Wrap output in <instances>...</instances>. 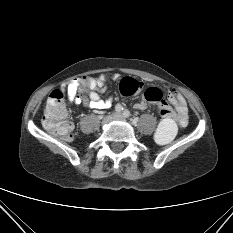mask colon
Wrapping results in <instances>:
<instances>
[{
	"instance_id": "obj_1",
	"label": "colon",
	"mask_w": 233,
	"mask_h": 233,
	"mask_svg": "<svg viewBox=\"0 0 233 233\" xmlns=\"http://www.w3.org/2000/svg\"><path fill=\"white\" fill-rule=\"evenodd\" d=\"M141 88V83L132 78H125L120 83V91L125 96L133 95ZM144 98L149 102L160 103L163 101V93L158 88L150 87L144 92ZM160 114L163 120L156 130L155 138L159 144L165 145L175 138L177 125L169 107L163 106ZM43 125L63 139L70 140L72 137L73 126L68 120L63 94L60 90H53L49 95L45 106Z\"/></svg>"
}]
</instances>
